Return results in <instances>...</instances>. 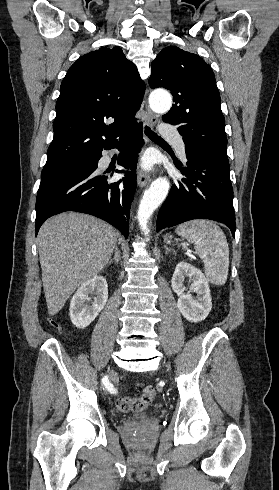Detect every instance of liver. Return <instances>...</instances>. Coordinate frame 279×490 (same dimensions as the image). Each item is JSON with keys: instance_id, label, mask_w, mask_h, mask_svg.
Here are the masks:
<instances>
[{"instance_id": "1", "label": "liver", "mask_w": 279, "mask_h": 490, "mask_svg": "<svg viewBox=\"0 0 279 490\" xmlns=\"http://www.w3.org/2000/svg\"><path fill=\"white\" fill-rule=\"evenodd\" d=\"M117 230L87 216H52L37 236L43 290L49 316L62 310L76 288L103 272L117 244Z\"/></svg>"}]
</instances>
